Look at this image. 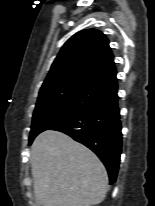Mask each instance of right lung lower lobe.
<instances>
[{
	"mask_svg": "<svg viewBox=\"0 0 155 206\" xmlns=\"http://www.w3.org/2000/svg\"><path fill=\"white\" fill-rule=\"evenodd\" d=\"M119 112L116 88L50 129L63 132L90 148L104 163L111 183L116 181L122 150Z\"/></svg>",
	"mask_w": 155,
	"mask_h": 206,
	"instance_id": "98d812e1",
	"label": "right lung lower lobe"
}]
</instances>
